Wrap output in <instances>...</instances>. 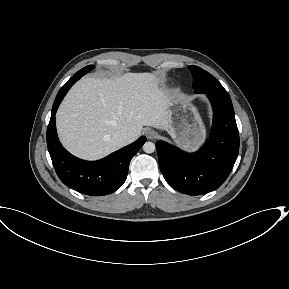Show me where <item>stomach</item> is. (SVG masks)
<instances>
[{"label": "stomach", "instance_id": "stomach-1", "mask_svg": "<svg viewBox=\"0 0 289 289\" xmlns=\"http://www.w3.org/2000/svg\"><path fill=\"white\" fill-rule=\"evenodd\" d=\"M168 133L173 141L187 151L196 150L204 141L206 129L197 109L181 96L170 95Z\"/></svg>", "mask_w": 289, "mask_h": 289}]
</instances>
